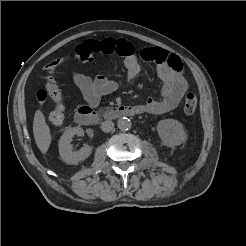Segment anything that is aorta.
Listing matches in <instances>:
<instances>
[{
  "mask_svg": "<svg viewBox=\"0 0 246 246\" xmlns=\"http://www.w3.org/2000/svg\"><path fill=\"white\" fill-rule=\"evenodd\" d=\"M131 121L130 119L126 118V117H122L120 119H118L117 121V126L121 131H126L129 130L131 128Z\"/></svg>",
  "mask_w": 246,
  "mask_h": 246,
  "instance_id": "obj_1",
  "label": "aorta"
}]
</instances>
